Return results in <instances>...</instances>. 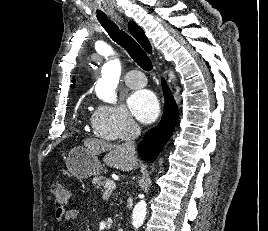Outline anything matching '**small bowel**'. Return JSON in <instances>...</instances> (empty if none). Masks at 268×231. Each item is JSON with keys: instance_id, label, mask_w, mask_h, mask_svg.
Masks as SVG:
<instances>
[{"instance_id": "obj_1", "label": "small bowel", "mask_w": 268, "mask_h": 231, "mask_svg": "<svg viewBox=\"0 0 268 231\" xmlns=\"http://www.w3.org/2000/svg\"><path fill=\"white\" fill-rule=\"evenodd\" d=\"M78 216L79 211L77 209L58 208L55 211L56 220L60 224L75 221L78 218Z\"/></svg>"}]
</instances>
